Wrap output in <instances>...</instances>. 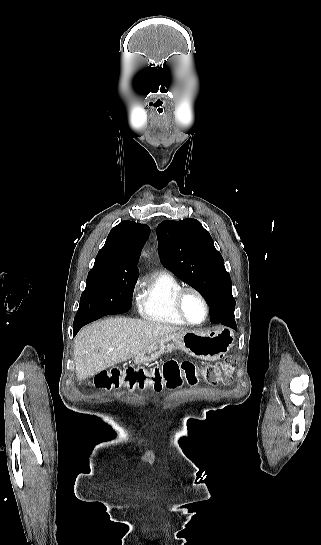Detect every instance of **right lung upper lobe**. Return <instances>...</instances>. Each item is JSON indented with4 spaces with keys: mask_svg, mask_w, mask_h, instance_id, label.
Returning a JSON list of instances; mask_svg holds the SVG:
<instances>
[{
    "mask_svg": "<svg viewBox=\"0 0 321 545\" xmlns=\"http://www.w3.org/2000/svg\"><path fill=\"white\" fill-rule=\"evenodd\" d=\"M149 233L150 228L145 224L122 221L110 231L90 272L137 278L140 250Z\"/></svg>",
    "mask_w": 321,
    "mask_h": 545,
    "instance_id": "cb5924a9",
    "label": "right lung upper lobe"
}]
</instances>
